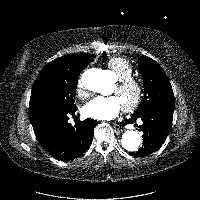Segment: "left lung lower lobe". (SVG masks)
<instances>
[{"label": "left lung lower lobe", "instance_id": "left-lung-lower-lobe-1", "mask_svg": "<svg viewBox=\"0 0 200 200\" xmlns=\"http://www.w3.org/2000/svg\"><path fill=\"white\" fill-rule=\"evenodd\" d=\"M141 119L140 126L143 135V145L137 152H131V156L143 157L156 152L164 143L172 128L173 112L163 111L157 108H149L139 115L132 116L125 122L134 123Z\"/></svg>", "mask_w": 200, "mask_h": 200}]
</instances>
